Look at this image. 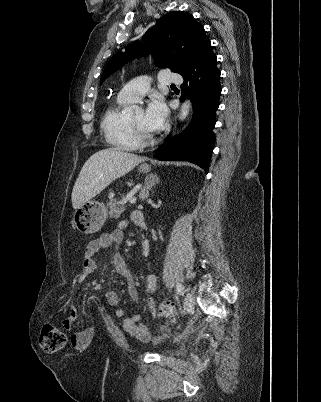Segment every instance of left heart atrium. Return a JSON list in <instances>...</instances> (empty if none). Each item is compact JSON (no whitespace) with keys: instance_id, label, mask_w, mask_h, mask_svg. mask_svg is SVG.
Here are the masks:
<instances>
[{"instance_id":"left-heart-atrium-1","label":"left heart atrium","mask_w":321,"mask_h":402,"mask_svg":"<svg viewBox=\"0 0 321 402\" xmlns=\"http://www.w3.org/2000/svg\"><path fill=\"white\" fill-rule=\"evenodd\" d=\"M167 109L159 99H153L144 113V124L148 131L154 133L159 131L167 118Z\"/></svg>"}]
</instances>
